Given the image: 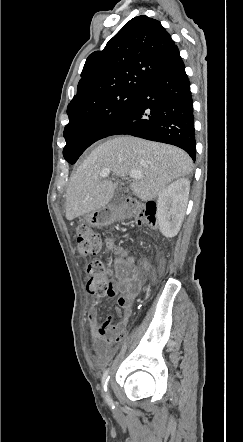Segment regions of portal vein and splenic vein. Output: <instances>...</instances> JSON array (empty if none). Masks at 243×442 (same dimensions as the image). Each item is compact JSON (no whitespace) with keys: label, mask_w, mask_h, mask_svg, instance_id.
<instances>
[{"label":"portal vein and splenic vein","mask_w":243,"mask_h":442,"mask_svg":"<svg viewBox=\"0 0 243 442\" xmlns=\"http://www.w3.org/2000/svg\"><path fill=\"white\" fill-rule=\"evenodd\" d=\"M110 172H111L110 168H105L101 171L100 177H102V178L107 177L110 174ZM129 176L133 179H140L142 177L141 173L136 170H131L129 172Z\"/></svg>","instance_id":"obj_1"}]
</instances>
